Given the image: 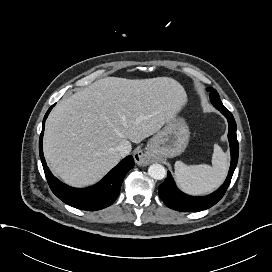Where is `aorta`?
<instances>
[{
  "label": "aorta",
  "mask_w": 272,
  "mask_h": 272,
  "mask_svg": "<svg viewBox=\"0 0 272 272\" xmlns=\"http://www.w3.org/2000/svg\"><path fill=\"white\" fill-rule=\"evenodd\" d=\"M148 174L155 180H162L166 176V169L161 164H152L148 168Z\"/></svg>",
  "instance_id": "762f6f07"
}]
</instances>
